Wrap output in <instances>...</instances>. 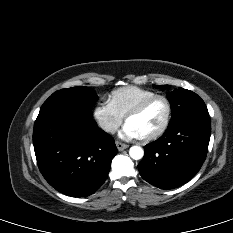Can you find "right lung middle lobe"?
<instances>
[{
	"label": "right lung middle lobe",
	"mask_w": 233,
	"mask_h": 233,
	"mask_svg": "<svg viewBox=\"0 0 233 233\" xmlns=\"http://www.w3.org/2000/svg\"><path fill=\"white\" fill-rule=\"evenodd\" d=\"M98 96L92 88L73 87L54 92L41 106L38 116L67 111L92 118V107Z\"/></svg>",
	"instance_id": "right-lung-middle-lobe-1"
}]
</instances>
